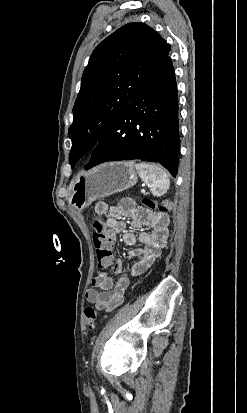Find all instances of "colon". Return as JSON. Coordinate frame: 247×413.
<instances>
[{
	"label": "colon",
	"instance_id": "obj_1",
	"mask_svg": "<svg viewBox=\"0 0 247 413\" xmlns=\"http://www.w3.org/2000/svg\"><path fill=\"white\" fill-rule=\"evenodd\" d=\"M140 204H145L150 206L151 210H161L162 214L170 212L173 209V201L170 199H161L159 201L152 200L150 198H144ZM94 228H99L92 235V240L94 245L97 247V264L98 265H109L112 258V246L106 240L104 229L106 227L105 221H94ZM84 316L86 320V325L88 328L92 329L96 326L98 320V313L93 307L84 308Z\"/></svg>",
	"mask_w": 247,
	"mask_h": 413
}]
</instances>
